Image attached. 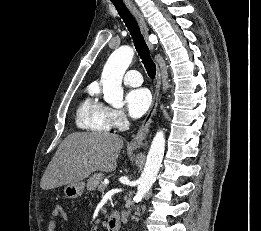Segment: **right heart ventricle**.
I'll use <instances>...</instances> for the list:
<instances>
[{"instance_id":"right-heart-ventricle-1","label":"right heart ventricle","mask_w":261,"mask_h":231,"mask_svg":"<svg viewBox=\"0 0 261 231\" xmlns=\"http://www.w3.org/2000/svg\"><path fill=\"white\" fill-rule=\"evenodd\" d=\"M76 125L82 130L102 133L111 129L109 108L98 98L96 91L90 90L89 95L78 106Z\"/></svg>"}]
</instances>
